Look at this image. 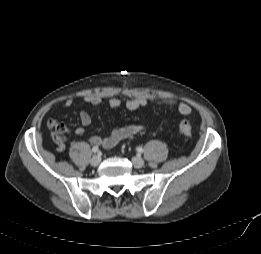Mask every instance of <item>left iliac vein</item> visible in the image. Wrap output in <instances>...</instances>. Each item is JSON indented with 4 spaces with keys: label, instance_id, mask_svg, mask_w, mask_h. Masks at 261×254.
I'll return each mask as SVG.
<instances>
[{
    "label": "left iliac vein",
    "instance_id": "1",
    "mask_svg": "<svg viewBox=\"0 0 261 254\" xmlns=\"http://www.w3.org/2000/svg\"><path fill=\"white\" fill-rule=\"evenodd\" d=\"M132 163H133V166L138 169L142 168L144 166V160L139 156L133 157Z\"/></svg>",
    "mask_w": 261,
    "mask_h": 254
}]
</instances>
